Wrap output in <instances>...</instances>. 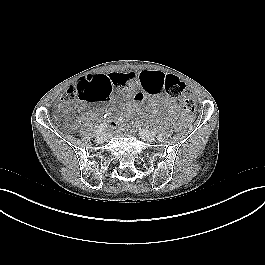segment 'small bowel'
<instances>
[{"label": "small bowel", "mask_w": 265, "mask_h": 265, "mask_svg": "<svg viewBox=\"0 0 265 265\" xmlns=\"http://www.w3.org/2000/svg\"><path fill=\"white\" fill-rule=\"evenodd\" d=\"M166 73L158 70H144L139 73L127 72V73H109V74H97L90 75L81 80L90 81L95 78L105 79L109 84L112 92L116 95H122L125 93H132L136 89L141 88L146 93L154 96V99L149 105L151 111H156L159 106H163L170 114H175L180 105L178 101L170 99L168 97L158 96V87L164 81ZM126 111H131V106H126ZM96 117L95 112L86 113L82 119H93ZM107 124L114 125L115 122L108 120Z\"/></svg>", "instance_id": "1"}]
</instances>
